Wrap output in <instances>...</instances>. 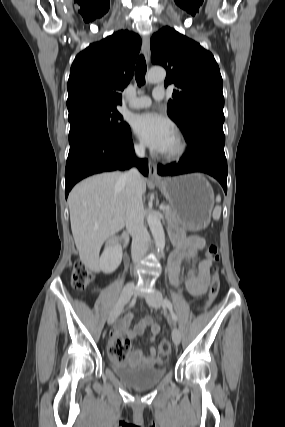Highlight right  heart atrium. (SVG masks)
<instances>
[{
    "label": "right heart atrium",
    "mask_w": 285,
    "mask_h": 427,
    "mask_svg": "<svg viewBox=\"0 0 285 427\" xmlns=\"http://www.w3.org/2000/svg\"><path fill=\"white\" fill-rule=\"evenodd\" d=\"M132 147H133L134 152H136L138 154L142 153L144 150L143 145L138 141H134L132 144Z\"/></svg>",
    "instance_id": "right-heart-atrium-1"
}]
</instances>
